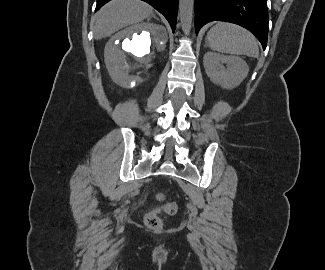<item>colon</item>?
<instances>
[{"label": "colon", "mask_w": 325, "mask_h": 270, "mask_svg": "<svg viewBox=\"0 0 325 270\" xmlns=\"http://www.w3.org/2000/svg\"><path fill=\"white\" fill-rule=\"evenodd\" d=\"M160 200L163 199L161 195L158 196ZM178 210V205L174 201H164L160 207L154 208L146 213L144 221L145 224L152 229H159L162 227V220L160 213L164 212L168 215H174Z\"/></svg>", "instance_id": "obj_1"}]
</instances>
